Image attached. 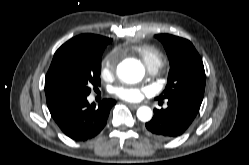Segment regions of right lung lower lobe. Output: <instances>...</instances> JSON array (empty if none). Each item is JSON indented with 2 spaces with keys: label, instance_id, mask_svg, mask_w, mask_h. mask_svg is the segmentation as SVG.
I'll use <instances>...</instances> for the list:
<instances>
[{
  "label": "right lung lower lobe",
  "instance_id": "1",
  "mask_svg": "<svg viewBox=\"0 0 249 165\" xmlns=\"http://www.w3.org/2000/svg\"><path fill=\"white\" fill-rule=\"evenodd\" d=\"M52 118L65 135L76 141L96 136L106 125L113 99H104L98 107L89 104L87 95L51 93L46 95Z\"/></svg>",
  "mask_w": 249,
  "mask_h": 165
}]
</instances>
